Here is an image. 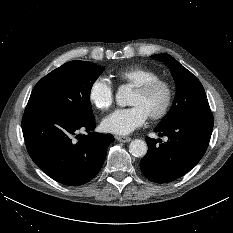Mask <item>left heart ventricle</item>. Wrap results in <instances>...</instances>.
Returning <instances> with one entry per match:
<instances>
[{"instance_id": "b2bd125f", "label": "left heart ventricle", "mask_w": 233, "mask_h": 233, "mask_svg": "<svg viewBox=\"0 0 233 233\" xmlns=\"http://www.w3.org/2000/svg\"><path fill=\"white\" fill-rule=\"evenodd\" d=\"M166 98V91L163 87H157L146 95H141L135 91L130 96L128 104L139 106L149 117L157 113L163 106Z\"/></svg>"}]
</instances>
